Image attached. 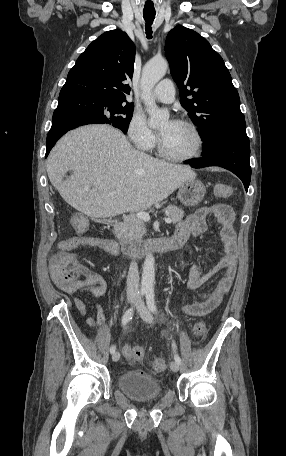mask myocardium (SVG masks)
Returning <instances> with one entry per match:
<instances>
[{"instance_id":"1","label":"myocardium","mask_w":286,"mask_h":456,"mask_svg":"<svg viewBox=\"0 0 286 456\" xmlns=\"http://www.w3.org/2000/svg\"><path fill=\"white\" fill-rule=\"evenodd\" d=\"M174 122L188 127L194 133V135L196 136V139H197V148H196L195 152L191 155L175 156L173 154L168 153L165 150L163 143L161 141V138L158 135L157 151H158L159 155L165 159H168L171 161H177V162H187V161H191V160H195V159L199 158L202 155L204 147H205V140H204L203 134L200 131V129L197 127V125H195L193 122L188 121V120L177 119V120H174Z\"/></svg>"}]
</instances>
